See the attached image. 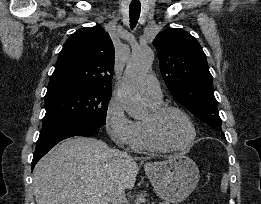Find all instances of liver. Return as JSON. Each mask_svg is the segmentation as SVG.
<instances>
[{
  "mask_svg": "<svg viewBox=\"0 0 261 204\" xmlns=\"http://www.w3.org/2000/svg\"><path fill=\"white\" fill-rule=\"evenodd\" d=\"M138 159L95 138H68L34 168L36 204H108L114 186L134 187Z\"/></svg>",
  "mask_w": 261,
  "mask_h": 204,
  "instance_id": "6515ba94",
  "label": "liver"
}]
</instances>
